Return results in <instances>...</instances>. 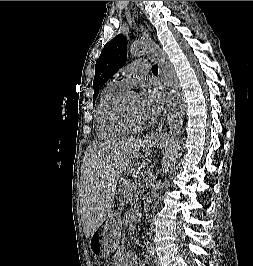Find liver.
<instances>
[{"label":"liver","mask_w":253,"mask_h":266,"mask_svg":"<svg viewBox=\"0 0 253 266\" xmlns=\"http://www.w3.org/2000/svg\"><path fill=\"white\" fill-rule=\"evenodd\" d=\"M144 141L128 137L88 146L82 170V224L86 238L102 225L112 209L116 187Z\"/></svg>","instance_id":"1"}]
</instances>
